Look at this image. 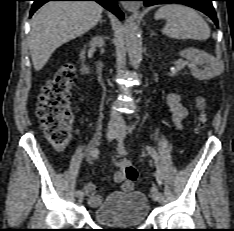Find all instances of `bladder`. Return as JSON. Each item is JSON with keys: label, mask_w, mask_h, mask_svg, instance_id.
Segmentation results:
<instances>
[{"label": "bladder", "mask_w": 234, "mask_h": 231, "mask_svg": "<svg viewBox=\"0 0 234 231\" xmlns=\"http://www.w3.org/2000/svg\"><path fill=\"white\" fill-rule=\"evenodd\" d=\"M150 214L149 200L141 192L111 194L93 211V220L111 226L143 224Z\"/></svg>", "instance_id": "bladder-1"}]
</instances>
